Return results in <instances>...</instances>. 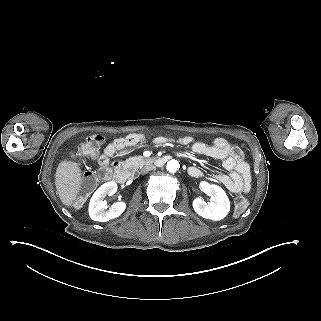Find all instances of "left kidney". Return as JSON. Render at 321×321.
Returning a JSON list of instances; mask_svg holds the SVG:
<instances>
[{"mask_svg": "<svg viewBox=\"0 0 321 321\" xmlns=\"http://www.w3.org/2000/svg\"><path fill=\"white\" fill-rule=\"evenodd\" d=\"M205 192L210 196L209 202L201 199L193 201L194 211L205 219L219 221L224 219L230 211V201L225 191L218 185L202 183Z\"/></svg>", "mask_w": 321, "mask_h": 321, "instance_id": "obj_1", "label": "left kidney"}]
</instances>
